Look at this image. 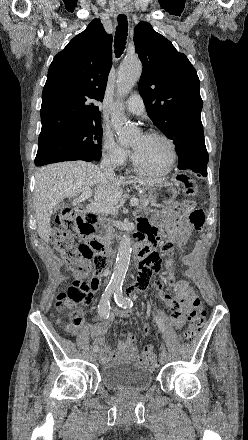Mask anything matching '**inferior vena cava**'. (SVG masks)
Returning <instances> with one entry per match:
<instances>
[{"instance_id": "inferior-vena-cava-1", "label": "inferior vena cava", "mask_w": 248, "mask_h": 440, "mask_svg": "<svg viewBox=\"0 0 248 440\" xmlns=\"http://www.w3.org/2000/svg\"><path fill=\"white\" fill-rule=\"evenodd\" d=\"M100 168H101L106 174H108V175H113V174H114L113 169H112V167H111L110 160H109L108 157H106L105 159H103V161H102L101 164H100ZM108 262H109L110 264H112V260H111V259H108Z\"/></svg>"}]
</instances>
